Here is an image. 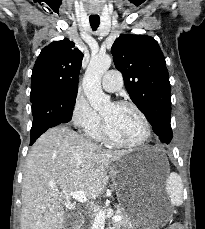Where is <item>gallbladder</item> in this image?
<instances>
[{"label":"gallbladder","instance_id":"1","mask_svg":"<svg viewBox=\"0 0 205 229\" xmlns=\"http://www.w3.org/2000/svg\"><path fill=\"white\" fill-rule=\"evenodd\" d=\"M72 221V216H69V220L67 221V225Z\"/></svg>","mask_w":205,"mask_h":229}]
</instances>
